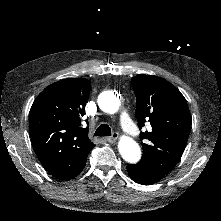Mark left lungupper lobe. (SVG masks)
Here are the masks:
<instances>
[{"label": "left lung upper lobe", "instance_id": "5c2ea615", "mask_svg": "<svg viewBox=\"0 0 221 221\" xmlns=\"http://www.w3.org/2000/svg\"><path fill=\"white\" fill-rule=\"evenodd\" d=\"M136 95V116L141 129L146 121L151 132H141V161L165 176L179 161L191 129V115L181 92L167 80L153 75L131 79ZM147 138L150 143L145 144Z\"/></svg>", "mask_w": 221, "mask_h": 221}]
</instances>
